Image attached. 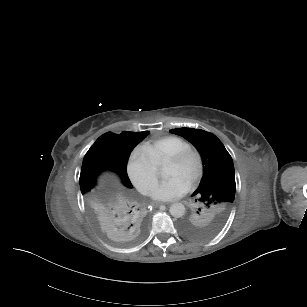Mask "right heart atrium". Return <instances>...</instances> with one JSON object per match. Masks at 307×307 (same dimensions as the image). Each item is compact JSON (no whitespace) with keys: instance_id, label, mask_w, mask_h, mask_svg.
Returning a JSON list of instances; mask_svg holds the SVG:
<instances>
[{"instance_id":"obj_1","label":"right heart atrium","mask_w":307,"mask_h":307,"mask_svg":"<svg viewBox=\"0 0 307 307\" xmlns=\"http://www.w3.org/2000/svg\"><path fill=\"white\" fill-rule=\"evenodd\" d=\"M155 155L146 150L144 143L132 147L127 159V174L132 184L142 192H147L156 177Z\"/></svg>"}]
</instances>
